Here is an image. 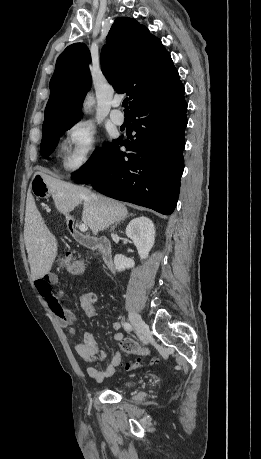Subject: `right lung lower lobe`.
I'll return each mask as SVG.
<instances>
[{
    "instance_id": "obj_1",
    "label": "right lung lower lobe",
    "mask_w": 261,
    "mask_h": 459,
    "mask_svg": "<svg viewBox=\"0 0 261 459\" xmlns=\"http://www.w3.org/2000/svg\"><path fill=\"white\" fill-rule=\"evenodd\" d=\"M187 103L180 82L166 94L131 110L135 139L108 150L104 161L75 182L91 184L111 198L171 214L178 201L184 169V131Z\"/></svg>"
}]
</instances>
